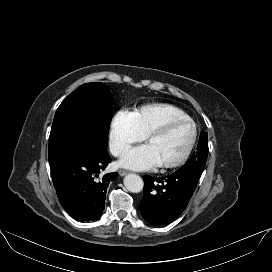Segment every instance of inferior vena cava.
<instances>
[{"mask_svg":"<svg viewBox=\"0 0 272 272\" xmlns=\"http://www.w3.org/2000/svg\"><path fill=\"white\" fill-rule=\"evenodd\" d=\"M123 147H124V146L121 145V144L112 145V146H111V153H112L114 156H118V155L121 153Z\"/></svg>","mask_w":272,"mask_h":272,"instance_id":"602c4592","label":"inferior vena cava"}]
</instances>
